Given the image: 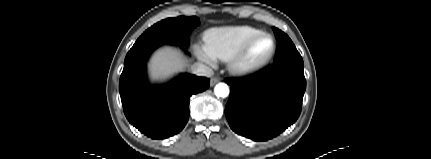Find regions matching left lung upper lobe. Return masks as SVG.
<instances>
[{
    "label": "left lung upper lobe",
    "mask_w": 431,
    "mask_h": 159,
    "mask_svg": "<svg viewBox=\"0 0 431 159\" xmlns=\"http://www.w3.org/2000/svg\"><path fill=\"white\" fill-rule=\"evenodd\" d=\"M273 31L278 41V51L275 63L285 60L303 61L291 39L277 28H273Z\"/></svg>",
    "instance_id": "left-lung-upper-lobe-1"
}]
</instances>
